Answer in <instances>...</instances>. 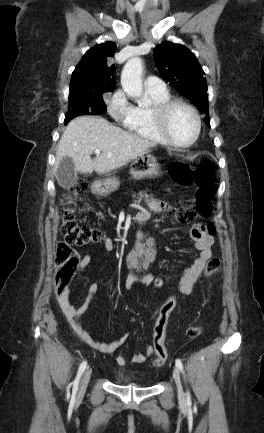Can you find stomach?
<instances>
[{
  "instance_id": "1",
  "label": "stomach",
  "mask_w": 264,
  "mask_h": 433,
  "mask_svg": "<svg viewBox=\"0 0 264 433\" xmlns=\"http://www.w3.org/2000/svg\"><path fill=\"white\" fill-rule=\"evenodd\" d=\"M130 174L136 180L143 178H155L160 176V165L151 154H144L135 159L131 165ZM120 186L117 178H107L94 183L93 190L96 194L106 195L115 191Z\"/></svg>"
}]
</instances>
